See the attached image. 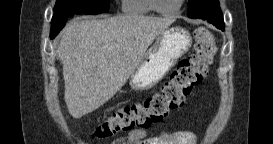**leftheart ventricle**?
Returning a JSON list of instances; mask_svg holds the SVG:
<instances>
[{"label":"left heart ventricle","instance_id":"left-heart-ventricle-1","mask_svg":"<svg viewBox=\"0 0 273 144\" xmlns=\"http://www.w3.org/2000/svg\"><path fill=\"white\" fill-rule=\"evenodd\" d=\"M179 0H159V6L161 9L169 10L178 5Z\"/></svg>","mask_w":273,"mask_h":144}]
</instances>
